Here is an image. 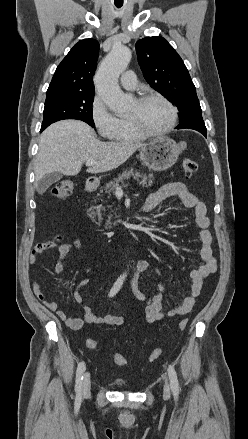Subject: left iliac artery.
<instances>
[{"instance_id": "1", "label": "left iliac artery", "mask_w": 248, "mask_h": 439, "mask_svg": "<svg viewBox=\"0 0 248 439\" xmlns=\"http://www.w3.org/2000/svg\"><path fill=\"white\" fill-rule=\"evenodd\" d=\"M168 375H169L172 391L174 395H177L179 393V383H178L176 371L172 365L168 366Z\"/></svg>"}]
</instances>
